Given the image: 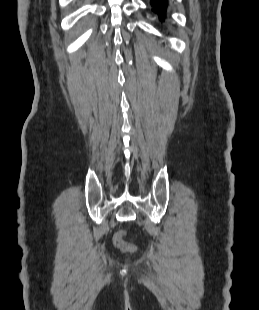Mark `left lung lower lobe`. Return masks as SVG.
<instances>
[{
	"label": "left lung lower lobe",
	"instance_id": "1",
	"mask_svg": "<svg viewBox=\"0 0 259 310\" xmlns=\"http://www.w3.org/2000/svg\"><path fill=\"white\" fill-rule=\"evenodd\" d=\"M151 5L153 7V11H155L160 20H162L167 10V0H151Z\"/></svg>",
	"mask_w": 259,
	"mask_h": 310
}]
</instances>
